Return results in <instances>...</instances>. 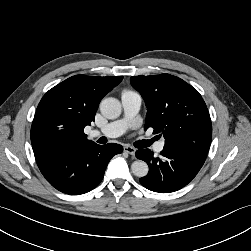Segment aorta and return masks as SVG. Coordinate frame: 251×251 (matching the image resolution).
<instances>
[{"instance_id":"aorta-1","label":"aorta","mask_w":251,"mask_h":251,"mask_svg":"<svg viewBox=\"0 0 251 251\" xmlns=\"http://www.w3.org/2000/svg\"><path fill=\"white\" fill-rule=\"evenodd\" d=\"M102 115L108 119H116L120 116L122 107L119 100L113 97L105 98L100 103ZM133 174L137 177H145L148 174L149 167L146 162L136 160L131 165Z\"/></svg>"}]
</instances>
